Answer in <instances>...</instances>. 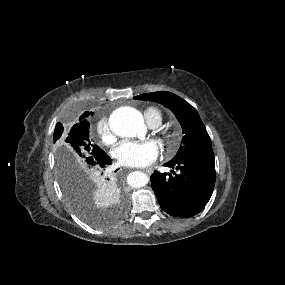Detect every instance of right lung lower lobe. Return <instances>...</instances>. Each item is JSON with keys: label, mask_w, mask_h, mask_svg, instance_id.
<instances>
[{"label": "right lung lower lobe", "mask_w": 285, "mask_h": 285, "mask_svg": "<svg viewBox=\"0 0 285 285\" xmlns=\"http://www.w3.org/2000/svg\"><path fill=\"white\" fill-rule=\"evenodd\" d=\"M111 164V158L105 153L99 160L98 165L104 171L109 165ZM106 181V180H105ZM107 183H110V186H108V189H106L108 192L115 194L116 193V187L113 183V179H109L106 181Z\"/></svg>", "instance_id": "98d812e1"}]
</instances>
